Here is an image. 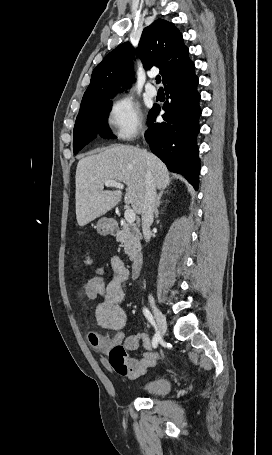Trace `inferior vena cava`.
Listing matches in <instances>:
<instances>
[{
  "label": "inferior vena cava",
  "mask_w": 272,
  "mask_h": 455,
  "mask_svg": "<svg viewBox=\"0 0 272 455\" xmlns=\"http://www.w3.org/2000/svg\"><path fill=\"white\" fill-rule=\"evenodd\" d=\"M146 183V192L141 212L142 217V231L143 236L146 242L150 241L151 238V230L150 226L153 222V213L155 211V204H156V187L154 183V178L152 173L148 170L145 178Z\"/></svg>",
  "instance_id": "602c4592"
}]
</instances>
